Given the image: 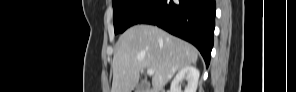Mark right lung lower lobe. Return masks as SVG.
<instances>
[{
    "label": "right lung lower lobe",
    "mask_w": 296,
    "mask_h": 92,
    "mask_svg": "<svg viewBox=\"0 0 296 92\" xmlns=\"http://www.w3.org/2000/svg\"><path fill=\"white\" fill-rule=\"evenodd\" d=\"M215 8V0H160L138 23L157 25L189 41L198 48L208 66L213 47Z\"/></svg>",
    "instance_id": "98d812e1"
}]
</instances>
